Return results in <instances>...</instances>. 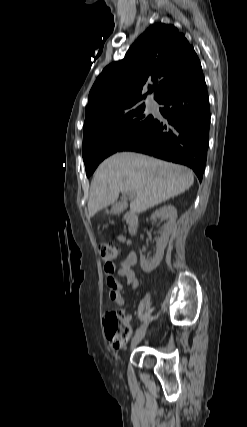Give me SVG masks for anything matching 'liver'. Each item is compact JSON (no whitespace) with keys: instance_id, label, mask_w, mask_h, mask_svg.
<instances>
[{"instance_id":"liver-1","label":"liver","mask_w":247,"mask_h":427,"mask_svg":"<svg viewBox=\"0 0 247 427\" xmlns=\"http://www.w3.org/2000/svg\"><path fill=\"white\" fill-rule=\"evenodd\" d=\"M194 174L187 167L134 152L116 153L97 168L91 182L88 214L114 204L120 192L131 193L130 210L142 213L188 190Z\"/></svg>"}]
</instances>
